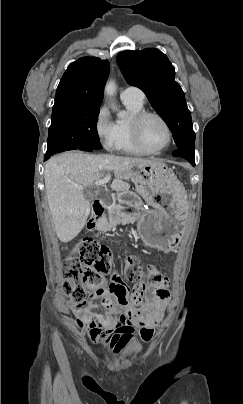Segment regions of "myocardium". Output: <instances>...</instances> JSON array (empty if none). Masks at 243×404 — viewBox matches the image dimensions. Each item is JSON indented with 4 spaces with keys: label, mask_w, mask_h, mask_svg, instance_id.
I'll return each instance as SVG.
<instances>
[{
    "label": "myocardium",
    "mask_w": 243,
    "mask_h": 404,
    "mask_svg": "<svg viewBox=\"0 0 243 404\" xmlns=\"http://www.w3.org/2000/svg\"><path fill=\"white\" fill-rule=\"evenodd\" d=\"M149 116H156L158 117L166 126L167 131H168V141L167 143L160 149H152L148 147L143 140L140 137L139 133V128L141 123ZM129 130L131 133V136L135 142V144L140 147L142 150L146 151L147 153L155 154V153H161L165 150H167L172 142H173V129L167 118L161 114L160 112L154 111V110H143L134 117L131 118L130 123H129Z\"/></svg>",
    "instance_id": "myocardium-1"
}]
</instances>
